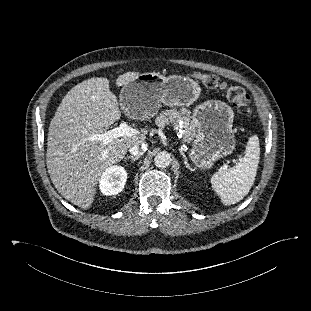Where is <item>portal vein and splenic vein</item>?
Segmentation results:
<instances>
[{
	"label": "portal vein and splenic vein",
	"mask_w": 311,
	"mask_h": 311,
	"mask_svg": "<svg viewBox=\"0 0 311 311\" xmlns=\"http://www.w3.org/2000/svg\"><path fill=\"white\" fill-rule=\"evenodd\" d=\"M138 132L131 128L126 122H122L119 127L106 131L102 134H95L91 137L92 140L102 141L104 145L108 144L115 138L124 136H133ZM227 165H223V169H226Z\"/></svg>",
	"instance_id": "18ae733b"
}]
</instances>
